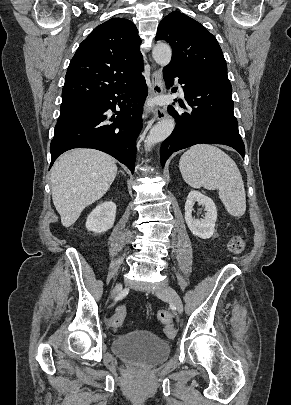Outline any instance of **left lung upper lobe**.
Returning a JSON list of instances; mask_svg holds the SVG:
<instances>
[{
	"label": "left lung upper lobe",
	"mask_w": 291,
	"mask_h": 405,
	"mask_svg": "<svg viewBox=\"0 0 291 405\" xmlns=\"http://www.w3.org/2000/svg\"><path fill=\"white\" fill-rule=\"evenodd\" d=\"M155 40H165L172 47V59L166 67L187 75L228 80L226 61L216 38L180 11L162 19Z\"/></svg>",
	"instance_id": "obj_1"
}]
</instances>
